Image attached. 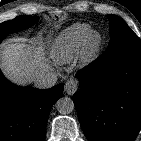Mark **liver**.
Here are the masks:
<instances>
[{
  "instance_id": "liver-1",
  "label": "liver",
  "mask_w": 141,
  "mask_h": 141,
  "mask_svg": "<svg viewBox=\"0 0 141 141\" xmlns=\"http://www.w3.org/2000/svg\"><path fill=\"white\" fill-rule=\"evenodd\" d=\"M0 66L13 83L26 86L38 77L51 72L41 42L16 38L4 43L0 51Z\"/></svg>"
}]
</instances>
